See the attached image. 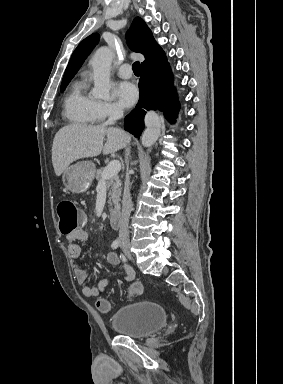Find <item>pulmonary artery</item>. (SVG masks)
Returning <instances> with one entry per match:
<instances>
[{
    "mask_svg": "<svg viewBox=\"0 0 283 384\" xmlns=\"http://www.w3.org/2000/svg\"><path fill=\"white\" fill-rule=\"evenodd\" d=\"M117 74L121 78H130L132 76V68L130 65H122L118 68Z\"/></svg>",
    "mask_w": 283,
    "mask_h": 384,
    "instance_id": "e3ab8cb5",
    "label": "pulmonary artery"
}]
</instances>
